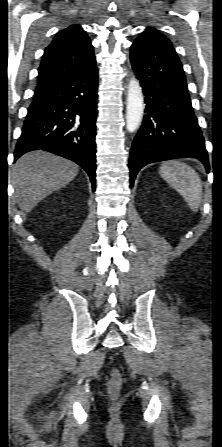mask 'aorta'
I'll use <instances>...</instances> for the list:
<instances>
[{"label": "aorta", "mask_w": 222, "mask_h": 447, "mask_svg": "<svg viewBox=\"0 0 222 447\" xmlns=\"http://www.w3.org/2000/svg\"><path fill=\"white\" fill-rule=\"evenodd\" d=\"M144 112V100L139 82L133 77L128 86L126 127L129 132H134L140 125Z\"/></svg>", "instance_id": "1"}]
</instances>
